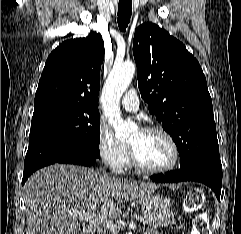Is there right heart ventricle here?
<instances>
[{
    "label": "right heart ventricle",
    "instance_id": "1",
    "mask_svg": "<svg viewBox=\"0 0 241 234\" xmlns=\"http://www.w3.org/2000/svg\"><path fill=\"white\" fill-rule=\"evenodd\" d=\"M123 168H126V169L131 168V162H130L129 151L128 150H127V154H126V157H125Z\"/></svg>",
    "mask_w": 241,
    "mask_h": 234
}]
</instances>
